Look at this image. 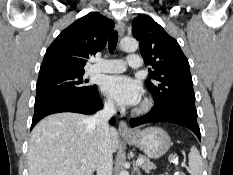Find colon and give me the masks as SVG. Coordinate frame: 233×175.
<instances>
[{
  "label": "colon",
  "instance_id": "obj_1",
  "mask_svg": "<svg viewBox=\"0 0 233 175\" xmlns=\"http://www.w3.org/2000/svg\"><path fill=\"white\" fill-rule=\"evenodd\" d=\"M171 163L176 169L174 175H186L185 172L178 167L179 158L176 155L172 156Z\"/></svg>",
  "mask_w": 233,
  "mask_h": 175
}]
</instances>
